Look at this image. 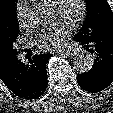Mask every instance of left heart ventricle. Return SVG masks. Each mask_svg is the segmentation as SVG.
Instances as JSON below:
<instances>
[{
	"mask_svg": "<svg viewBox=\"0 0 113 113\" xmlns=\"http://www.w3.org/2000/svg\"><path fill=\"white\" fill-rule=\"evenodd\" d=\"M66 9H67L68 16L65 19V21L70 24L72 19L77 15V13L79 11L78 0H67ZM56 17H57V14L54 11V18H56Z\"/></svg>",
	"mask_w": 113,
	"mask_h": 113,
	"instance_id": "b2bd125f",
	"label": "left heart ventricle"
}]
</instances>
